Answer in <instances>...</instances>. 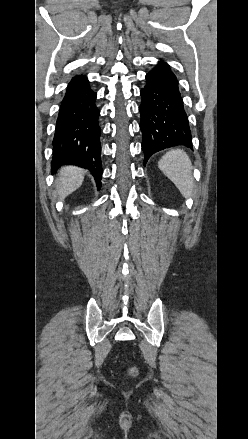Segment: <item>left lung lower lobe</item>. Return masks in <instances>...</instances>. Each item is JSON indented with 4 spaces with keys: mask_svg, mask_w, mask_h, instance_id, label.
Masks as SVG:
<instances>
[{
    "mask_svg": "<svg viewBox=\"0 0 248 439\" xmlns=\"http://www.w3.org/2000/svg\"><path fill=\"white\" fill-rule=\"evenodd\" d=\"M146 81L140 91L142 102L139 107L144 165L152 154L165 148L182 145L192 149L191 131L178 81L169 65L160 61L146 75Z\"/></svg>",
    "mask_w": 248,
    "mask_h": 439,
    "instance_id": "left-lung-lower-lobe-1",
    "label": "left lung lower lobe"
}]
</instances>
